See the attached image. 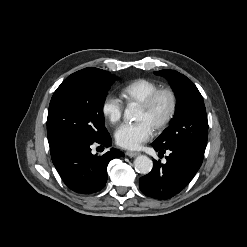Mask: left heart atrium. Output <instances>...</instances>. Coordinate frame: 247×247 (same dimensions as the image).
Masks as SVG:
<instances>
[{
  "instance_id": "left-heart-atrium-1",
  "label": "left heart atrium",
  "mask_w": 247,
  "mask_h": 247,
  "mask_svg": "<svg viewBox=\"0 0 247 247\" xmlns=\"http://www.w3.org/2000/svg\"><path fill=\"white\" fill-rule=\"evenodd\" d=\"M153 134V127L144 120L125 123L115 132L117 144L125 149H137L148 141Z\"/></svg>"
}]
</instances>
